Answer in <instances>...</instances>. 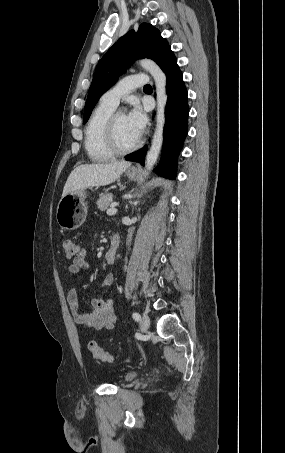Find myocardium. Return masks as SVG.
I'll use <instances>...</instances> for the list:
<instances>
[{
  "instance_id": "obj_1",
  "label": "myocardium",
  "mask_w": 285,
  "mask_h": 453,
  "mask_svg": "<svg viewBox=\"0 0 285 453\" xmlns=\"http://www.w3.org/2000/svg\"><path fill=\"white\" fill-rule=\"evenodd\" d=\"M125 114L123 110H115L108 118L105 131H104V138L105 143L108 149L111 151L113 155H125L137 150L143 142L142 137L140 136L137 142L129 147H122L119 145L116 135V122L117 118L121 115Z\"/></svg>"
}]
</instances>
